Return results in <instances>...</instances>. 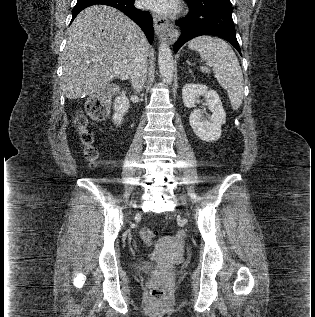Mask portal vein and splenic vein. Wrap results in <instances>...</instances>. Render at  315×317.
I'll list each match as a JSON object with an SVG mask.
<instances>
[{"label": "portal vein and splenic vein", "mask_w": 315, "mask_h": 317, "mask_svg": "<svg viewBox=\"0 0 315 317\" xmlns=\"http://www.w3.org/2000/svg\"><path fill=\"white\" fill-rule=\"evenodd\" d=\"M112 71L115 73V74H120V70L118 68H113Z\"/></svg>", "instance_id": "18ae733b"}]
</instances>
